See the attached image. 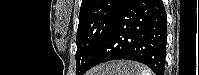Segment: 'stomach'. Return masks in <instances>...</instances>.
<instances>
[{
    "label": "stomach",
    "instance_id": "1",
    "mask_svg": "<svg viewBox=\"0 0 199 75\" xmlns=\"http://www.w3.org/2000/svg\"><path fill=\"white\" fill-rule=\"evenodd\" d=\"M139 66L129 61L105 63L97 67L95 75H138Z\"/></svg>",
    "mask_w": 199,
    "mask_h": 75
}]
</instances>
